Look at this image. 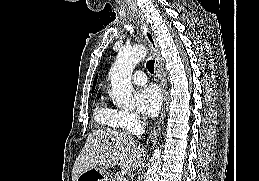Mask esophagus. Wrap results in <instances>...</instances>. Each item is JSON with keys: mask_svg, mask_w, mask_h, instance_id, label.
<instances>
[{"mask_svg": "<svg viewBox=\"0 0 259 181\" xmlns=\"http://www.w3.org/2000/svg\"><path fill=\"white\" fill-rule=\"evenodd\" d=\"M139 22L141 24V29L143 31V34H144L147 42L149 43L153 57L155 59L156 75L158 77L160 86L163 91L162 113H161L159 119L153 125V127L150 131L149 137L147 139V142H152L158 137V135L161 131V127L163 125L164 118H165L166 105H167V82H166V77H165V73H164V69H163L162 59L160 57V52H159V48H158L157 42L155 40V37H154L153 33L151 32L149 25L144 21L143 18H139Z\"/></svg>", "mask_w": 259, "mask_h": 181, "instance_id": "34e87169", "label": "esophagus"}]
</instances>
